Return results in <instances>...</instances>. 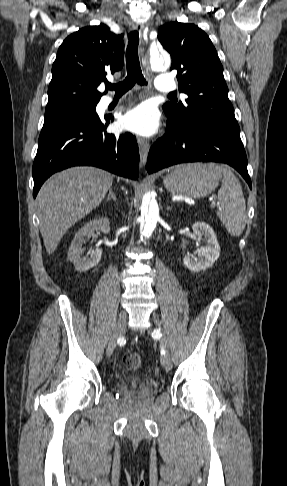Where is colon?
Returning <instances> with one entry per match:
<instances>
[{
  "label": "colon",
  "instance_id": "5ec220e1",
  "mask_svg": "<svg viewBox=\"0 0 287 486\" xmlns=\"http://www.w3.org/2000/svg\"><path fill=\"white\" fill-rule=\"evenodd\" d=\"M123 363L126 368L130 370H136L141 366L142 358L136 352H129L124 355Z\"/></svg>",
  "mask_w": 287,
  "mask_h": 486
}]
</instances>
